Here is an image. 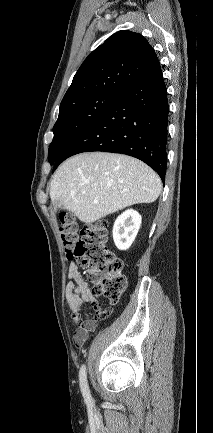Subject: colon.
<instances>
[{
  "label": "colon",
  "mask_w": 213,
  "mask_h": 433,
  "mask_svg": "<svg viewBox=\"0 0 213 433\" xmlns=\"http://www.w3.org/2000/svg\"><path fill=\"white\" fill-rule=\"evenodd\" d=\"M59 230L66 258L77 261L87 273L94 296H104L110 303H116L126 288L123 274V262L109 248L107 222L99 220L85 226L80 234L74 218L69 214L59 216ZM96 317L106 318L110 308L99 309L96 305ZM81 329L85 321L79 314L72 317Z\"/></svg>",
  "instance_id": "5ec220e1"
}]
</instances>
